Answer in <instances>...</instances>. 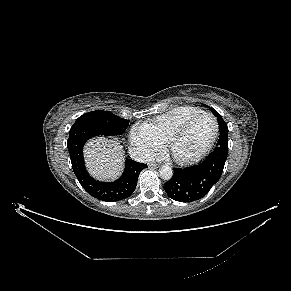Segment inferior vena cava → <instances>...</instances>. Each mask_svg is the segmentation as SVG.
<instances>
[{"instance_id": "1", "label": "inferior vena cava", "mask_w": 291, "mask_h": 291, "mask_svg": "<svg viewBox=\"0 0 291 291\" xmlns=\"http://www.w3.org/2000/svg\"><path fill=\"white\" fill-rule=\"evenodd\" d=\"M130 155L133 160L140 163H148L153 160V157L148 149L131 148Z\"/></svg>"}]
</instances>
